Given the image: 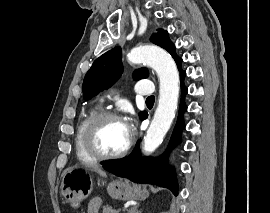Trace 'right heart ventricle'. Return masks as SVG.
Instances as JSON below:
<instances>
[{"instance_id": "1", "label": "right heart ventricle", "mask_w": 270, "mask_h": 213, "mask_svg": "<svg viewBox=\"0 0 270 213\" xmlns=\"http://www.w3.org/2000/svg\"><path fill=\"white\" fill-rule=\"evenodd\" d=\"M98 108L93 107L88 110L79 120L75 134V151L77 158L83 163H93L96 161L85 149L84 146V133L88 123L91 119L98 114Z\"/></svg>"}]
</instances>
